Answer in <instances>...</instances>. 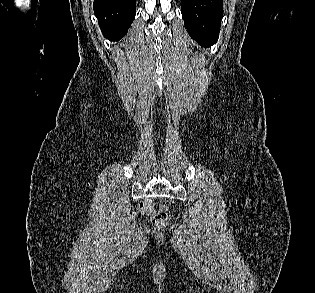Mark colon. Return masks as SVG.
Wrapping results in <instances>:
<instances>
[{
	"label": "colon",
	"instance_id": "colon-1",
	"mask_svg": "<svg viewBox=\"0 0 315 293\" xmlns=\"http://www.w3.org/2000/svg\"><path fill=\"white\" fill-rule=\"evenodd\" d=\"M144 214L151 217L153 225L157 228H163L168 224V213L160 208H156L150 202H144L141 205Z\"/></svg>",
	"mask_w": 315,
	"mask_h": 293
}]
</instances>
